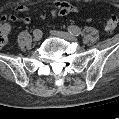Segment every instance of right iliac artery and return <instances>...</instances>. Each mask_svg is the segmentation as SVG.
Here are the masks:
<instances>
[{
    "label": "right iliac artery",
    "mask_w": 119,
    "mask_h": 119,
    "mask_svg": "<svg viewBox=\"0 0 119 119\" xmlns=\"http://www.w3.org/2000/svg\"><path fill=\"white\" fill-rule=\"evenodd\" d=\"M33 34H34L35 36H38V35L40 34V31H39L38 29H35V30L33 31Z\"/></svg>",
    "instance_id": "1"
}]
</instances>
